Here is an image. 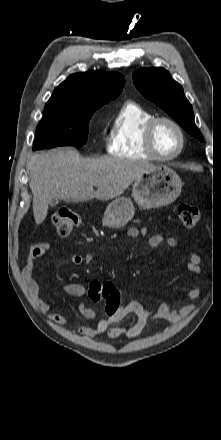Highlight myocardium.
<instances>
[{"label":"myocardium","mask_w":221,"mask_h":440,"mask_svg":"<svg viewBox=\"0 0 221 440\" xmlns=\"http://www.w3.org/2000/svg\"><path fill=\"white\" fill-rule=\"evenodd\" d=\"M162 122H166L172 125L179 134V138H180L179 148L171 155H161L156 150L154 145L155 130L157 126ZM143 137H144V145L147 152L153 159L158 161H172L176 159L181 155L186 145V137L182 126L176 120L167 116L152 117L144 127Z\"/></svg>","instance_id":"myocardium-1"}]
</instances>
